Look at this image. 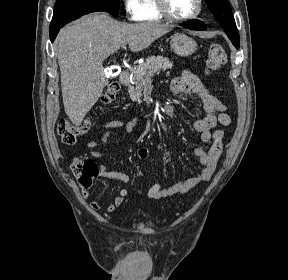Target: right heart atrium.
<instances>
[{"mask_svg": "<svg viewBox=\"0 0 288 280\" xmlns=\"http://www.w3.org/2000/svg\"><path fill=\"white\" fill-rule=\"evenodd\" d=\"M142 0H122L123 10L129 20H140L142 14Z\"/></svg>", "mask_w": 288, "mask_h": 280, "instance_id": "obj_1", "label": "right heart atrium"}]
</instances>
